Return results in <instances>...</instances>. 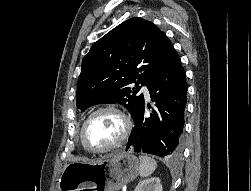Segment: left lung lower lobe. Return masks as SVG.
Listing matches in <instances>:
<instances>
[{
    "label": "left lung lower lobe",
    "mask_w": 251,
    "mask_h": 191,
    "mask_svg": "<svg viewBox=\"0 0 251 191\" xmlns=\"http://www.w3.org/2000/svg\"><path fill=\"white\" fill-rule=\"evenodd\" d=\"M147 88L155 107L147 117L143 100L126 150L175 157L181 152L188 88L185 71L174 48Z\"/></svg>",
    "instance_id": "0a47b994"
}]
</instances>
